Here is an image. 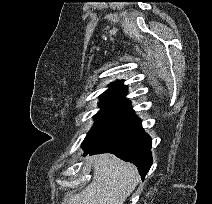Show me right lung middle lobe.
Returning <instances> with one entry per match:
<instances>
[{"label": "right lung middle lobe", "instance_id": "right-lung-middle-lobe-1", "mask_svg": "<svg viewBox=\"0 0 212 204\" xmlns=\"http://www.w3.org/2000/svg\"><path fill=\"white\" fill-rule=\"evenodd\" d=\"M100 110L95 114V123L82 143V148H91L115 136L128 127L136 115L126 102L100 101Z\"/></svg>", "mask_w": 212, "mask_h": 204}]
</instances>
